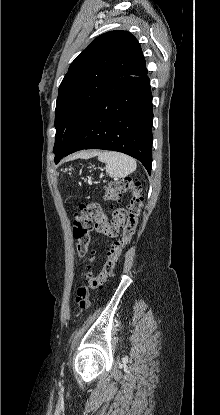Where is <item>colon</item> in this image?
Returning a JSON list of instances; mask_svg holds the SVG:
<instances>
[{
	"label": "colon",
	"mask_w": 220,
	"mask_h": 415,
	"mask_svg": "<svg viewBox=\"0 0 220 415\" xmlns=\"http://www.w3.org/2000/svg\"><path fill=\"white\" fill-rule=\"evenodd\" d=\"M127 191L132 192L128 209L114 208L111 217L107 218L99 204H82L80 213L74 221L73 236L76 253L79 257H87L89 261H93L92 231L94 229L113 240L107 250V258L102 270L97 275L87 272L85 276L87 284L76 289L75 302L81 310L90 307L89 291L102 288L113 275L123 249L129 244L135 233L143 205L141 181L128 177L110 182L106 191V199L117 201Z\"/></svg>",
	"instance_id": "colon-1"
}]
</instances>
